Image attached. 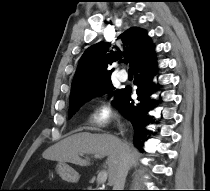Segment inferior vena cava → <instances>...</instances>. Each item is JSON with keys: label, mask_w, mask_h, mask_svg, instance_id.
Masks as SVG:
<instances>
[{"label": "inferior vena cava", "mask_w": 210, "mask_h": 191, "mask_svg": "<svg viewBox=\"0 0 210 191\" xmlns=\"http://www.w3.org/2000/svg\"><path fill=\"white\" fill-rule=\"evenodd\" d=\"M129 167L128 146L125 144V151L122 154L121 162L113 177V190H123Z\"/></svg>", "instance_id": "inferior-vena-cava-1"}]
</instances>
